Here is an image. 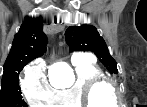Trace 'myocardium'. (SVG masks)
Here are the masks:
<instances>
[{
	"label": "myocardium",
	"mask_w": 147,
	"mask_h": 107,
	"mask_svg": "<svg viewBox=\"0 0 147 107\" xmlns=\"http://www.w3.org/2000/svg\"><path fill=\"white\" fill-rule=\"evenodd\" d=\"M103 84H108L110 85L116 95V103H120L121 102V98H120V92L118 89V85L117 83L110 77L100 74V75H96L91 77L89 80H87L82 88H81V93H80V97H81V102L83 104L84 107H95L94 103L92 101V95L93 92L95 91V89Z\"/></svg>",
	"instance_id": "1"
}]
</instances>
